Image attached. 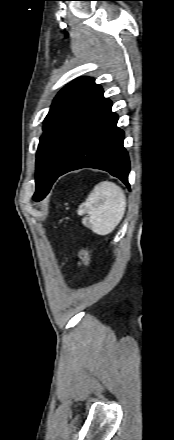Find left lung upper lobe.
I'll return each mask as SVG.
<instances>
[{
    "instance_id": "1",
    "label": "left lung upper lobe",
    "mask_w": 174,
    "mask_h": 440,
    "mask_svg": "<svg viewBox=\"0 0 174 440\" xmlns=\"http://www.w3.org/2000/svg\"><path fill=\"white\" fill-rule=\"evenodd\" d=\"M105 99L102 88L89 77L76 79L57 94L37 150L35 201L48 194L86 122Z\"/></svg>"
}]
</instances>
